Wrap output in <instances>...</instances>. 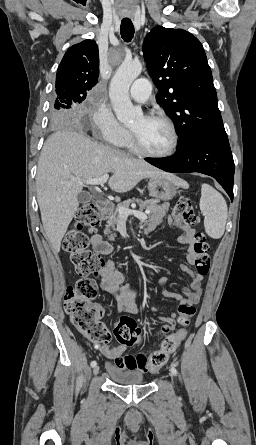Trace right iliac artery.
<instances>
[{
    "instance_id": "1",
    "label": "right iliac artery",
    "mask_w": 256,
    "mask_h": 445,
    "mask_svg": "<svg viewBox=\"0 0 256 445\" xmlns=\"http://www.w3.org/2000/svg\"><path fill=\"white\" fill-rule=\"evenodd\" d=\"M96 364H97L96 361H92V362H91V367H95Z\"/></svg>"
}]
</instances>
